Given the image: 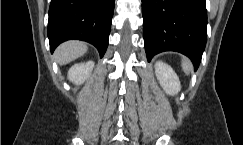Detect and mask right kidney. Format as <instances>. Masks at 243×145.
Listing matches in <instances>:
<instances>
[{
  "label": "right kidney",
  "mask_w": 243,
  "mask_h": 145,
  "mask_svg": "<svg viewBox=\"0 0 243 145\" xmlns=\"http://www.w3.org/2000/svg\"><path fill=\"white\" fill-rule=\"evenodd\" d=\"M93 68V61L75 64L68 71V79L75 84H81L90 76Z\"/></svg>",
  "instance_id": "1"
}]
</instances>
